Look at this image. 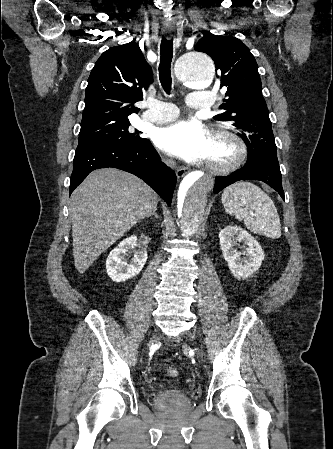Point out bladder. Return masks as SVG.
<instances>
[{
    "mask_svg": "<svg viewBox=\"0 0 333 449\" xmlns=\"http://www.w3.org/2000/svg\"><path fill=\"white\" fill-rule=\"evenodd\" d=\"M179 391V388L178 387H176V386H174V387H170V388H167L166 390H165V393H174V392H178Z\"/></svg>",
    "mask_w": 333,
    "mask_h": 449,
    "instance_id": "obj_1",
    "label": "bladder"
}]
</instances>
